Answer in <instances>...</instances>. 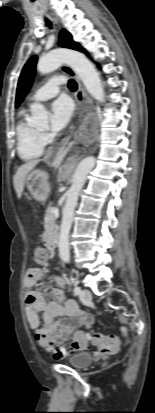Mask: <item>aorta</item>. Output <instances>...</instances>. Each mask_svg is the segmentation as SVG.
<instances>
[{"label":"aorta","mask_w":155,"mask_h":413,"mask_svg":"<svg viewBox=\"0 0 155 413\" xmlns=\"http://www.w3.org/2000/svg\"><path fill=\"white\" fill-rule=\"evenodd\" d=\"M63 63L70 65L82 80L88 93L97 101L104 102V89L100 76L94 65L82 54L69 49H56L42 56L37 64V70L41 74H47ZM48 112L39 103L31 106L32 124L35 126L46 124ZM96 159L93 156L84 158L77 166L72 177V185L67 191L66 202L63 209V217L59 236V256L65 263L70 261L69 233L73 222L75 207L83 188L88 173L94 168Z\"/></svg>","instance_id":"1"}]
</instances>
